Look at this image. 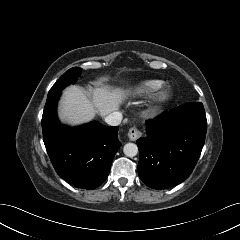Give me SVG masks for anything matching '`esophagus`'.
Instances as JSON below:
<instances>
[{
	"instance_id": "1",
	"label": "esophagus",
	"mask_w": 240,
	"mask_h": 240,
	"mask_svg": "<svg viewBox=\"0 0 240 240\" xmlns=\"http://www.w3.org/2000/svg\"><path fill=\"white\" fill-rule=\"evenodd\" d=\"M127 135L131 141H136L137 139H139L142 136V132L140 130H138L137 128L132 127L129 129Z\"/></svg>"
}]
</instances>
